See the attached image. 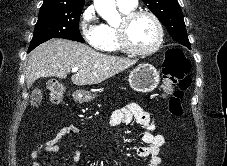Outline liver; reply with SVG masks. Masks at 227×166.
Segmentation results:
<instances>
[{
	"instance_id": "6515ba94",
	"label": "liver",
	"mask_w": 227,
	"mask_h": 166,
	"mask_svg": "<svg viewBox=\"0 0 227 166\" xmlns=\"http://www.w3.org/2000/svg\"><path fill=\"white\" fill-rule=\"evenodd\" d=\"M136 62L137 60L100 53L79 42L51 39L32 51L25 73L26 84L30 87L41 77L65 79L71 69L77 67L78 72L71 77L73 84L95 85Z\"/></svg>"
}]
</instances>
